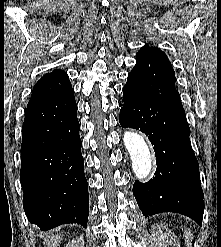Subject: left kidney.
I'll return each mask as SVG.
<instances>
[{"instance_id":"5707ae66","label":"left kidney","mask_w":221,"mask_h":247,"mask_svg":"<svg viewBox=\"0 0 221 247\" xmlns=\"http://www.w3.org/2000/svg\"><path fill=\"white\" fill-rule=\"evenodd\" d=\"M151 235L155 247H180L179 240L166 226L154 224Z\"/></svg>"}]
</instances>
